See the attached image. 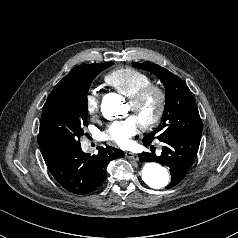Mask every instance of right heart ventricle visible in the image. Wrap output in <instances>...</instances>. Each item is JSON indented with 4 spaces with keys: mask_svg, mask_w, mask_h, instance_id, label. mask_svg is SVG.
<instances>
[{
    "mask_svg": "<svg viewBox=\"0 0 238 238\" xmlns=\"http://www.w3.org/2000/svg\"><path fill=\"white\" fill-rule=\"evenodd\" d=\"M104 83L127 98H131L142 87L151 83V78L136 69L121 67L114 69L103 78Z\"/></svg>",
    "mask_w": 238,
    "mask_h": 238,
    "instance_id": "right-heart-ventricle-1",
    "label": "right heart ventricle"
}]
</instances>
